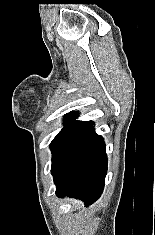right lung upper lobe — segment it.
Segmentation results:
<instances>
[{
  "mask_svg": "<svg viewBox=\"0 0 155 235\" xmlns=\"http://www.w3.org/2000/svg\"><path fill=\"white\" fill-rule=\"evenodd\" d=\"M78 112H72V113H70V114H67L66 116H68V117H72V118H76L77 116H78ZM92 123V122H91Z\"/></svg>",
  "mask_w": 155,
  "mask_h": 235,
  "instance_id": "1",
  "label": "right lung upper lobe"
}]
</instances>
